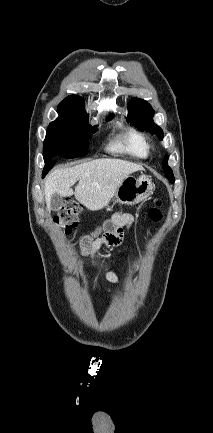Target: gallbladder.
I'll use <instances>...</instances> for the list:
<instances>
[{
    "instance_id": "1",
    "label": "gallbladder",
    "mask_w": 213,
    "mask_h": 433,
    "mask_svg": "<svg viewBox=\"0 0 213 433\" xmlns=\"http://www.w3.org/2000/svg\"><path fill=\"white\" fill-rule=\"evenodd\" d=\"M62 206H63V198L59 194L54 193L50 200V208L53 211H58L62 208Z\"/></svg>"
}]
</instances>
